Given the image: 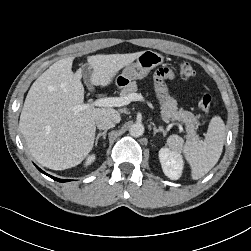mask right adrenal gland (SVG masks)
<instances>
[{"label": "right adrenal gland", "instance_id": "2a0ac1e0", "mask_svg": "<svg viewBox=\"0 0 251 251\" xmlns=\"http://www.w3.org/2000/svg\"><path fill=\"white\" fill-rule=\"evenodd\" d=\"M106 133H107V130L103 131V132H100L97 136H96V139H95V146H97L98 144V140L100 137H102L104 140L106 139Z\"/></svg>", "mask_w": 251, "mask_h": 251}]
</instances>
